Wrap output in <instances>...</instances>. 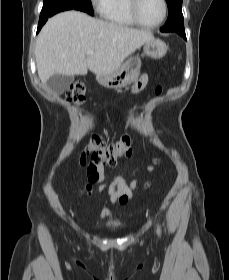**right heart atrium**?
Instances as JSON below:
<instances>
[{
  "mask_svg": "<svg viewBox=\"0 0 229 280\" xmlns=\"http://www.w3.org/2000/svg\"><path fill=\"white\" fill-rule=\"evenodd\" d=\"M94 10L99 13L103 14L107 7L109 6L110 0H90Z\"/></svg>",
  "mask_w": 229,
  "mask_h": 280,
  "instance_id": "1",
  "label": "right heart atrium"
}]
</instances>
